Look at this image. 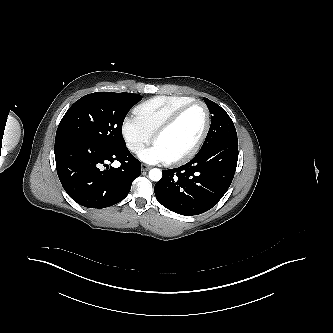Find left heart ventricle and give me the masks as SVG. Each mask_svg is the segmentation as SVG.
Masks as SVG:
<instances>
[{
	"label": "left heart ventricle",
	"mask_w": 333,
	"mask_h": 333,
	"mask_svg": "<svg viewBox=\"0 0 333 333\" xmlns=\"http://www.w3.org/2000/svg\"><path fill=\"white\" fill-rule=\"evenodd\" d=\"M205 125V112L196 105L186 111L181 118L155 142L167 159L179 156L196 143Z\"/></svg>",
	"instance_id": "b2bd125f"
}]
</instances>
